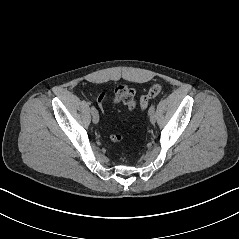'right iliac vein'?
Segmentation results:
<instances>
[{"label":"right iliac vein","mask_w":239,"mask_h":239,"mask_svg":"<svg viewBox=\"0 0 239 239\" xmlns=\"http://www.w3.org/2000/svg\"><path fill=\"white\" fill-rule=\"evenodd\" d=\"M92 121L93 123L97 124L99 122V115H98V112L95 111L92 113Z\"/></svg>","instance_id":"1"}]
</instances>
